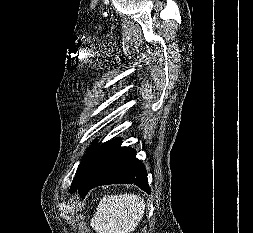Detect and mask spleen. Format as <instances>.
Masks as SVG:
<instances>
[{
    "mask_svg": "<svg viewBox=\"0 0 253 233\" xmlns=\"http://www.w3.org/2000/svg\"><path fill=\"white\" fill-rule=\"evenodd\" d=\"M144 211L145 202L139 195H107L100 201L90 225L98 233H130L137 228Z\"/></svg>",
    "mask_w": 253,
    "mask_h": 233,
    "instance_id": "spleen-1",
    "label": "spleen"
}]
</instances>
